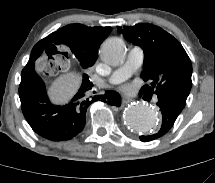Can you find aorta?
<instances>
[{
  "label": "aorta",
  "mask_w": 215,
  "mask_h": 183,
  "mask_svg": "<svg viewBox=\"0 0 215 183\" xmlns=\"http://www.w3.org/2000/svg\"><path fill=\"white\" fill-rule=\"evenodd\" d=\"M102 59L110 65H119L125 59L126 47L122 39L112 37L103 42L100 48ZM123 119L125 125L143 134L155 132L159 127V116L149 105L134 103L124 110Z\"/></svg>",
  "instance_id": "aorta-1"
}]
</instances>
